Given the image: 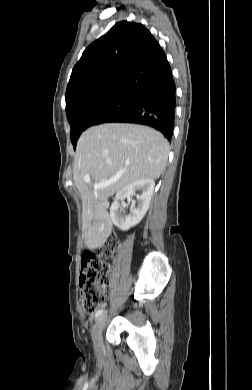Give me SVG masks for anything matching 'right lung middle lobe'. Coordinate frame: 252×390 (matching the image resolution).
Returning <instances> with one entry per match:
<instances>
[{
    "instance_id": "obj_1",
    "label": "right lung middle lobe",
    "mask_w": 252,
    "mask_h": 390,
    "mask_svg": "<svg viewBox=\"0 0 252 390\" xmlns=\"http://www.w3.org/2000/svg\"><path fill=\"white\" fill-rule=\"evenodd\" d=\"M134 95H111L80 105L67 113L71 126V142L76 147L82 132L90 126L106 122L111 117L127 109Z\"/></svg>"
}]
</instances>
